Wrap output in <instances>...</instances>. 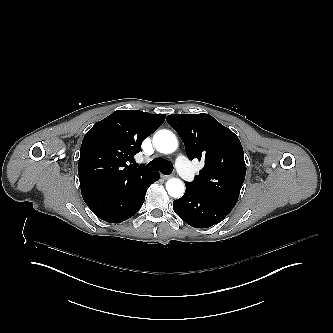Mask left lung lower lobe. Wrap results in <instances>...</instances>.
Listing matches in <instances>:
<instances>
[{"mask_svg":"<svg viewBox=\"0 0 333 333\" xmlns=\"http://www.w3.org/2000/svg\"><path fill=\"white\" fill-rule=\"evenodd\" d=\"M185 185V194L173 202V208L184 222L195 228H208L221 222L237 202L228 197L201 193L188 183Z\"/></svg>","mask_w":333,"mask_h":333,"instance_id":"0a47b994","label":"left lung lower lobe"}]
</instances>
